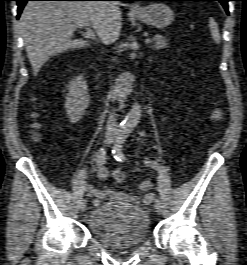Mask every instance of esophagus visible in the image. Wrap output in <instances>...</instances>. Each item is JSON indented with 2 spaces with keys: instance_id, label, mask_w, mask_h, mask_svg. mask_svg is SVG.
<instances>
[{
  "instance_id": "esophagus-1",
  "label": "esophagus",
  "mask_w": 247,
  "mask_h": 265,
  "mask_svg": "<svg viewBox=\"0 0 247 265\" xmlns=\"http://www.w3.org/2000/svg\"><path fill=\"white\" fill-rule=\"evenodd\" d=\"M137 9H138V7H137V6L133 7V10H137Z\"/></svg>"
}]
</instances>
